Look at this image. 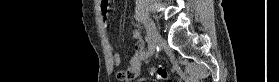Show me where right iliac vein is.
<instances>
[{
  "mask_svg": "<svg viewBox=\"0 0 279 82\" xmlns=\"http://www.w3.org/2000/svg\"><path fill=\"white\" fill-rule=\"evenodd\" d=\"M158 38H159L158 31L156 30L153 22L150 19H148L147 20V42H148L149 56L154 52Z\"/></svg>",
  "mask_w": 279,
  "mask_h": 82,
  "instance_id": "right-iliac-vein-1",
  "label": "right iliac vein"
}]
</instances>
